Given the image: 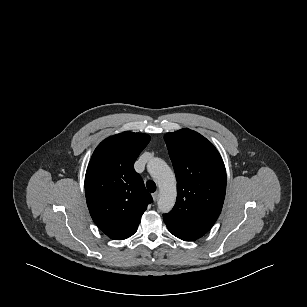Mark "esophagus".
Returning a JSON list of instances; mask_svg holds the SVG:
<instances>
[{"label":"esophagus","instance_id":"34e87169","mask_svg":"<svg viewBox=\"0 0 307 307\" xmlns=\"http://www.w3.org/2000/svg\"><path fill=\"white\" fill-rule=\"evenodd\" d=\"M158 196H159L158 192H155V193L152 194L153 200L155 202L158 200Z\"/></svg>","mask_w":307,"mask_h":307}]
</instances>
